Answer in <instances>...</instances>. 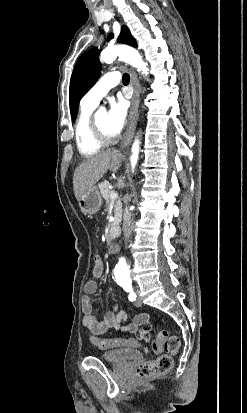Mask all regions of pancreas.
Instances as JSON below:
<instances>
[{"mask_svg": "<svg viewBox=\"0 0 247 413\" xmlns=\"http://www.w3.org/2000/svg\"><path fill=\"white\" fill-rule=\"evenodd\" d=\"M109 186H110L109 180H103V182H99V184H98V188H100V192H101L103 198H105L106 202H110V200H111V198L109 196V194H110ZM120 200H121V198H117V200H115V204H114L115 213H118V211H119ZM118 221H119V219H118V217H116V221H114L113 227H117Z\"/></svg>", "mask_w": 247, "mask_h": 413, "instance_id": "1", "label": "pancreas"}]
</instances>
